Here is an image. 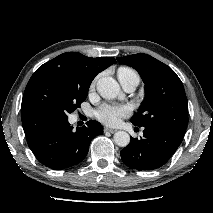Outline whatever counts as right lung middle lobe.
I'll return each instance as SVG.
<instances>
[{
    "instance_id": "dd1d6c3e",
    "label": "right lung middle lobe",
    "mask_w": 213,
    "mask_h": 213,
    "mask_svg": "<svg viewBox=\"0 0 213 213\" xmlns=\"http://www.w3.org/2000/svg\"><path fill=\"white\" fill-rule=\"evenodd\" d=\"M90 84L72 71L45 63L30 78L21 108H36L67 119L87 98Z\"/></svg>"
}]
</instances>
